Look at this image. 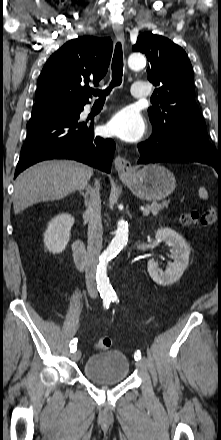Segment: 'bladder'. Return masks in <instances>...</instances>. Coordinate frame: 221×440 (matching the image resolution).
Segmentation results:
<instances>
[{
  "label": "bladder",
  "instance_id": "obj_1",
  "mask_svg": "<svg viewBox=\"0 0 221 440\" xmlns=\"http://www.w3.org/2000/svg\"><path fill=\"white\" fill-rule=\"evenodd\" d=\"M130 363L120 350L90 356L84 364V375L96 383H121L128 377Z\"/></svg>",
  "mask_w": 221,
  "mask_h": 440
}]
</instances>
